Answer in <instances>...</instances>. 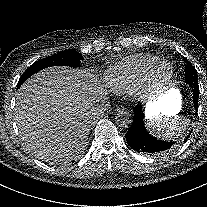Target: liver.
<instances>
[{"label": "liver", "mask_w": 207, "mask_h": 207, "mask_svg": "<svg viewBox=\"0 0 207 207\" xmlns=\"http://www.w3.org/2000/svg\"><path fill=\"white\" fill-rule=\"evenodd\" d=\"M94 90L82 70L68 67L30 77L18 91L14 117L25 146L40 158L81 148L96 112Z\"/></svg>", "instance_id": "obj_1"}]
</instances>
